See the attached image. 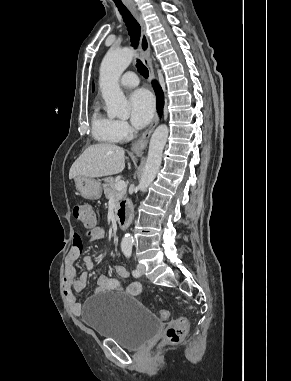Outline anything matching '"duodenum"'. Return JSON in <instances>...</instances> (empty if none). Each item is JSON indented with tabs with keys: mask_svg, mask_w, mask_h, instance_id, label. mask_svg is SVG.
Instances as JSON below:
<instances>
[{
	"mask_svg": "<svg viewBox=\"0 0 291 381\" xmlns=\"http://www.w3.org/2000/svg\"><path fill=\"white\" fill-rule=\"evenodd\" d=\"M129 205L128 202L121 203L120 207L116 212V220L120 228L124 229L129 222Z\"/></svg>",
	"mask_w": 291,
	"mask_h": 381,
	"instance_id": "410a0bca",
	"label": "duodenum"
}]
</instances>
